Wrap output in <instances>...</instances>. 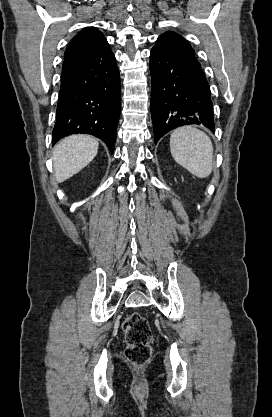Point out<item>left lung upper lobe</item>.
I'll use <instances>...</instances> for the list:
<instances>
[{"instance_id":"1","label":"left lung upper lobe","mask_w":272,"mask_h":417,"mask_svg":"<svg viewBox=\"0 0 272 417\" xmlns=\"http://www.w3.org/2000/svg\"><path fill=\"white\" fill-rule=\"evenodd\" d=\"M155 47L168 50L195 54L190 44L179 34L175 32H165L156 41Z\"/></svg>"}]
</instances>
